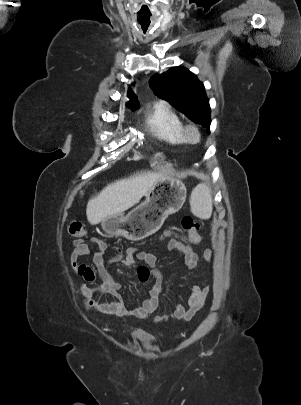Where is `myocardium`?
Listing matches in <instances>:
<instances>
[{
  "label": "myocardium",
  "mask_w": 301,
  "mask_h": 405,
  "mask_svg": "<svg viewBox=\"0 0 301 405\" xmlns=\"http://www.w3.org/2000/svg\"><path fill=\"white\" fill-rule=\"evenodd\" d=\"M184 135L189 143H197L200 141L201 134L198 127L194 124L184 126Z\"/></svg>",
  "instance_id": "1"
}]
</instances>
